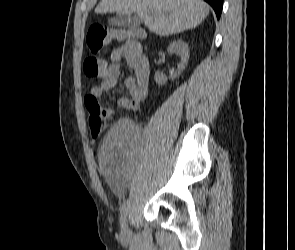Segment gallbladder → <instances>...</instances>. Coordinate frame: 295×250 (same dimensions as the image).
Segmentation results:
<instances>
[{"instance_id": "obj_1", "label": "gallbladder", "mask_w": 295, "mask_h": 250, "mask_svg": "<svg viewBox=\"0 0 295 250\" xmlns=\"http://www.w3.org/2000/svg\"><path fill=\"white\" fill-rule=\"evenodd\" d=\"M142 22L140 16L136 13L126 15V14H118L115 17H112L108 20L109 25L125 27V28H135L139 26Z\"/></svg>"}]
</instances>
